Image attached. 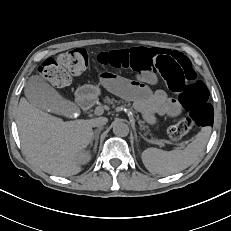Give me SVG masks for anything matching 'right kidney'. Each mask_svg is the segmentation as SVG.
Returning a JSON list of instances; mask_svg holds the SVG:
<instances>
[{"label":"right kidney","instance_id":"ca27d5eb","mask_svg":"<svg viewBox=\"0 0 231 231\" xmlns=\"http://www.w3.org/2000/svg\"><path fill=\"white\" fill-rule=\"evenodd\" d=\"M89 159H90V155H89V153H87V152H83V153L79 156V161H80L81 163H86V162L89 161Z\"/></svg>","mask_w":231,"mask_h":231}]
</instances>
